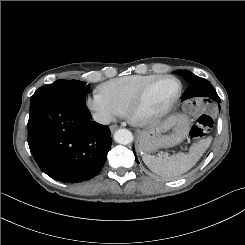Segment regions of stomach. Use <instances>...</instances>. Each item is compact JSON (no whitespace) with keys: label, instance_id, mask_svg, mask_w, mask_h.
Masks as SVG:
<instances>
[{"label":"stomach","instance_id":"1","mask_svg":"<svg viewBox=\"0 0 245 245\" xmlns=\"http://www.w3.org/2000/svg\"><path fill=\"white\" fill-rule=\"evenodd\" d=\"M190 122L187 116L177 114L158 125L139 132L137 146L139 151L151 153L160 148H168L181 143L188 135Z\"/></svg>","mask_w":245,"mask_h":245}]
</instances>
